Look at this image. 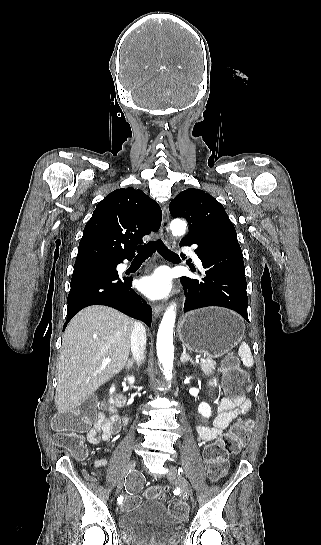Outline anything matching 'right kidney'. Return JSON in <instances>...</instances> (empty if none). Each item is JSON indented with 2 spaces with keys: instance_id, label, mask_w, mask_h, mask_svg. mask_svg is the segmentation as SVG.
<instances>
[{
  "instance_id": "right-kidney-1",
  "label": "right kidney",
  "mask_w": 321,
  "mask_h": 545,
  "mask_svg": "<svg viewBox=\"0 0 321 545\" xmlns=\"http://www.w3.org/2000/svg\"><path fill=\"white\" fill-rule=\"evenodd\" d=\"M125 381H128V383H130V385H133V383L135 381V377H127V379H125ZM114 391H115V387H111L110 393H114ZM110 403H112V401H110Z\"/></svg>"
}]
</instances>
